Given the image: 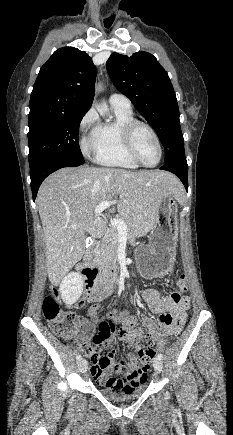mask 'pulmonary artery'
<instances>
[{
	"mask_svg": "<svg viewBox=\"0 0 233 435\" xmlns=\"http://www.w3.org/2000/svg\"><path fill=\"white\" fill-rule=\"evenodd\" d=\"M109 102L112 106L131 109V101L121 93H112L110 95Z\"/></svg>",
	"mask_w": 233,
	"mask_h": 435,
	"instance_id": "e3ab8cb5",
	"label": "pulmonary artery"
}]
</instances>
